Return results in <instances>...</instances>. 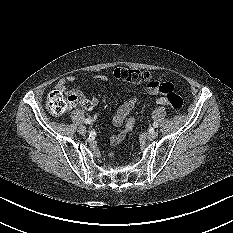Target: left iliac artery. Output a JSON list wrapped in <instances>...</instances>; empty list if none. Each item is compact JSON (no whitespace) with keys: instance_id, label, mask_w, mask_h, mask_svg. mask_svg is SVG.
<instances>
[{"instance_id":"1","label":"left iliac artery","mask_w":233,"mask_h":233,"mask_svg":"<svg viewBox=\"0 0 233 233\" xmlns=\"http://www.w3.org/2000/svg\"><path fill=\"white\" fill-rule=\"evenodd\" d=\"M158 125H159V124H158V122H156V121L153 123L154 128H157Z\"/></svg>"}]
</instances>
